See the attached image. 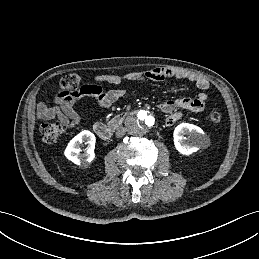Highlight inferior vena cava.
<instances>
[{"mask_svg":"<svg viewBox=\"0 0 259 259\" xmlns=\"http://www.w3.org/2000/svg\"><path fill=\"white\" fill-rule=\"evenodd\" d=\"M127 132V129L125 127H119L116 130V137L117 138H122Z\"/></svg>","mask_w":259,"mask_h":259,"instance_id":"1","label":"inferior vena cava"}]
</instances>
